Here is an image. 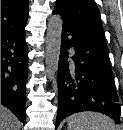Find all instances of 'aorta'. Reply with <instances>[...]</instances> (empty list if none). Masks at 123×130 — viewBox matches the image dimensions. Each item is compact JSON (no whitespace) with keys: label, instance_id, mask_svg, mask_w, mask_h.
I'll use <instances>...</instances> for the list:
<instances>
[{"label":"aorta","instance_id":"1","mask_svg":"<svg viewBox=\"0 0 123 130\" xmlns=\"http://www.w3.org/2000/svg\"><path fill=\"white\" fill-rule=\"evenodd\" d=\"M63 21L55 14L49 19L46 35V75L54 78L58 71Z\"/></svg>","mask_w":123,"mask_h":130}]
</instances>
